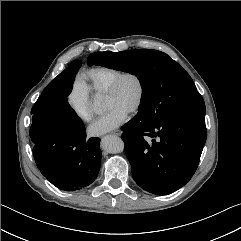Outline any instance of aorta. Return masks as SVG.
<instances>
[{
	"instance_id": "aorta-1",
	"label": "aorta",
	"mask_w": 241,
	"mask_h": 241,
	"mask_svg": "<svg viewBox=\"0 0 241 241\" xmlns=\"http://www.w3.org/2000/svg\"><path fill=\"white\" fill-rule=\"evenodd\" d=\"M92 108L96 113L101 112L102 101L100 98H94ZM101 146L109 153H120L124 150V142L121 140V138L111 135L105 136L102 139Z\"/></svg>"
}]
</instances>
